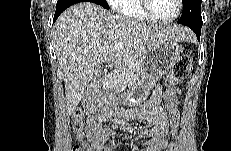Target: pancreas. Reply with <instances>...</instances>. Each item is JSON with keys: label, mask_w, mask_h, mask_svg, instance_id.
<instances>
[{"label": "pancreas", "mask_w": 231, "mask_h": 151, "mask_svg": "<svg viewBox=\"0 0 231 151\" xmlns=\"http://www.w3.org/2000/svg\"><path fill=\"white\" fill-rule=\"evenodd\" d=\"M141 75V65L130 61L120 66L115 72L109 74L104 81L107 89H119L129 83L136 82Z\"/></svg>", "instance_id": "obj_1"}]
</instances>
